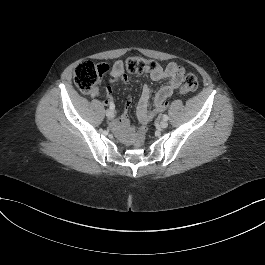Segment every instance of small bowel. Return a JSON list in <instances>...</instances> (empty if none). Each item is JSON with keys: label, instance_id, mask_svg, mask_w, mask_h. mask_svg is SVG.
<instances>
[{"label": "small bowel", "instance_id": "1", "mask_svg": "<svg viewBox=\"0 0 265 265\" xmlns=\"http://www.w3.org/2000/svg\"><path fill=\"white\" fill-rule=\"evenodd\" d=\"M100 76L105 75L109 72L110 82L123 81L124 83L129 82V78L124 72V63L118 60L113 63L111 67L109 65L100 63L97 65ZM184 74V69L180 65L174 62H170L165 66H159L156 70L150 73V77L153 81H161L168 79V83L162 86L154 96V107L162 104L166 99L171 97L175 90L180 86L181 80ZM92 97L98 96L97 91L91 92ZM151 98V89L148 85L142 87L141 95L138 102V115L140 119L144 120L147 115V108ZM106 104L110 107L115 108L113 101L112 88L108 86L106 88ZM130 106V100L126 102V110L119 118H112L111 125L114 129L120 131L127 127L129 123L127 109Z\"/></svg>", "mask_w": 265, "mask_h": 265}]
</instances>
